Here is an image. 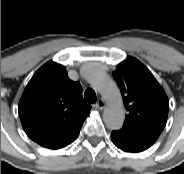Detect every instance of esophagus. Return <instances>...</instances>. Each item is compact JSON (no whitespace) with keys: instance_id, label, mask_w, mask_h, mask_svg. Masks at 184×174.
Returning a JSON list of instances; mask_svg holds the SVG:
<instances>
[{"instance_id":"obj_1","label":"esophagus","mask_w":184,"mask_h":174,"mask_svg":"<svg viewBox=\"0 0 184 174\" xmlns=\"http://www.w3.org/2000/svg\"><path fill=\"white\" fill-rule=\"evenodd\" d=\"M95 107L97 109H100V110L104 109L105 108V102H104V100L103 99H99L97 101V103L95 104Z\"/></svg>"}]
</instances>
